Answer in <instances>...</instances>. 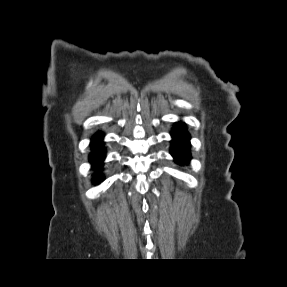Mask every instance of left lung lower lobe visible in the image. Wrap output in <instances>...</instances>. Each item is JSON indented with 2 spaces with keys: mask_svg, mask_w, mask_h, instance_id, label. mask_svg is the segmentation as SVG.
Returning a JSON list of instances; mask_svg holds the SVG:
<instances>
[{
  "mask_svg": "<svg viewBox=\"0 0 287 287\" xmlns=\"http://www.w3.org/2000/svg\"><path fill=\"white\" fill-rule=\"evenodd\" d=\"M171 155L173 156L177 164H188L190 156V142L189 134L186 131L185 124L183 122H177L171 132Z\"/></svg>",
  "mask_w": 287,
  "mask_h": 287,
  "instance_id": "obj_1",
  "label": "left lung lower lobe"
}]
</instances>
